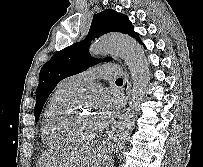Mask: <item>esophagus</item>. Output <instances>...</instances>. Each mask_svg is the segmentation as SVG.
I'll list each match as a JSON object with an SVG mask.
<instances>
[{
	"label": "esophagus",
	"instance_id": "esophagus-1",
	"mask_svg": "<svg viewBox=\"0 0 203 167\" xmlns=\"http://www.w3.org/2000/svg\"><path fill=\"white\" fill-rule=\"evenodd\" d=\"M129 80H130L129 74L126 73L125 78H124L125 83H128V88H127V91H126V99H128V97L130 95V92H131L130 87H129V85H130Z\"/></svg>",
	"mask_w": 203,
	"mask_h": 167
}]
</instances>
